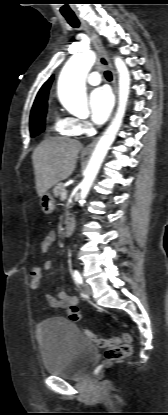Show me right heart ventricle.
I'll return each mask as SVG.
<instances>
[{
	"mask_svg": "<svg viewBox=\"0 0 168 415\" xmlns=\"http://www.w3.org/2000/svg\"><path fill=\"white\" fill-rule=\"evenodd\" d=\"M53 129L58 135L65 137H74L78 135L75 129V119L68 116L57 114L55 116Z\"/></svg>",
	"mask_w": 168,
	"mask_h": 415,
	"instance_id": "right-heart-ventricle-1",
	"label": "right heart ventricle"
}]
</instances>
